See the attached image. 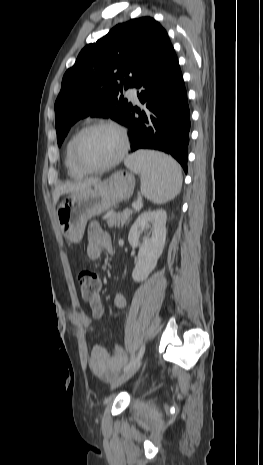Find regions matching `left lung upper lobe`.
I'll return each instance as SVG.
<instances>
[{
    "label": "left lung upper lobe",
    "instance_id": "obj_1",
    "mask_svg": "<svg viewBox=\"0 0 263 465\" xmlns=\"http://www.w3.org/2000/svg\"><path fill=\"white\" fill-rule=\"evenodd\" d=\"M169 42L157 21L142 17L116 25L83 48L64 74L55 102L58 145L76 121L89 115L111 117L123 124L132 105L118 100L119 91L134 87Z\"/></svg>",
    "mask_w": 263,
    "mask_h": 465
}]
</instances>
